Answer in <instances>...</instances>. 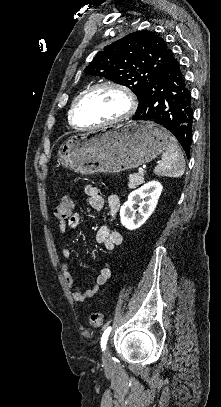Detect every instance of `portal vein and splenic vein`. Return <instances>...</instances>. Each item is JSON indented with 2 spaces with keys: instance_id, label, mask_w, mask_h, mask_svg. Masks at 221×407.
Segmentation results:
<instances>
[{
  "instance_id": "1",
  "label": "portal vein and splenic vein",
  "mask_w": 221,
  "mask_h": 407,
  "mask_svg": "<svg viewBox=\"0 0 221 407\" xmlns=\"http://www.w3.org/2000/svg\"><path fill=\"white\" fill-rule=\"evenodd\" d=\"M138 172H139L140 174H143V173L145 172V167H140V168L138 169Z\"/></svg>"
}]
</instances>
